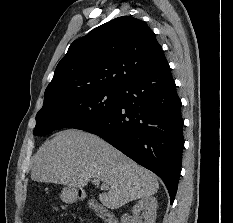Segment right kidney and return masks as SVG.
<instances>
[{
  "label": "right kidney",
  "instance_id": "ca27d5eb",
  "mask_svg": "<svg viewBox=\"0 0 233 223\" xmlns=\"http://www.w3.org/2000/svg\"><path fill=\"white\" fill-rule=\"evenodd\" d=\"M157 203L158 201L156 197H153V195H146V197H142V199H139V201L133 205V215L124 213L121 217V223H129L130 217H136V215H142V217H144V221H141V223H155Z\"/></svg>",
  "mask_w": 233,
  "mask_h": 223
}]
</instances>
